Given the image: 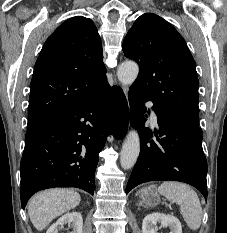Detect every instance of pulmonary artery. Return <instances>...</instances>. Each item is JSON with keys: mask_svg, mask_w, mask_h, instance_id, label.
Segmentation results:
<instances>
[{"mask_svg": "<svg viewBox=\"0 0 227 233\" xmlns=\"http://www.w3.org/2000/svg\"><path fill=\"white\" fill-rule=\"evenodd\" d=\"M148 106H149V108L151 109V118H152V120H153V121H156V120H157V116H156L154 110L152 109V103L149 102V103H148Z\"/></svg>", "mask_w": 227, "mask_h": 233, "instance_id": "e3ab8cb5", "label": "pulmonary artery"}]
</instances>
